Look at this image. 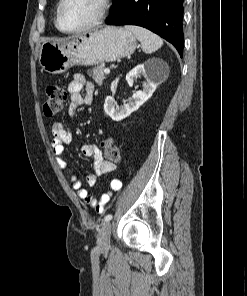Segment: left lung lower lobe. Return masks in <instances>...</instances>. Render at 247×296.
I'll list each match as a JSON object with an SVG mask.
<instances>
[{"label": "left lung lower lobe", "instance_id": "left-lung-lower-lobe-1", "mask_svg": "<svg viewBox=\"0 0 247 296\" xmlns=\"http://www.w3.org/2000/svg\"><path fill=\"white\" fill-rule=\"evenodd\" d=\"M183 2L184 0H114L106 24L145 27L173 44L182 57Z\"/></svg>", "mask_w": 247, "mask_h": 296}]
</instances>
